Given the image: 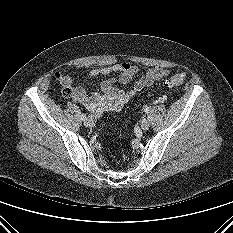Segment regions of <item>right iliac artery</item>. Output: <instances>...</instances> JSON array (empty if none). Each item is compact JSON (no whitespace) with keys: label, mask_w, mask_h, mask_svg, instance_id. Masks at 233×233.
Segmentation results:
<instances>
[{"label":"right iliac artery","mask_w":233,"mask_h":233,"mask_svg":"<svg viewBox=\"0 0 233 233\" xmlns=\"http://www.w3.org/2000/svg\"><path fill=\"white\" fill-rule=\"evenodd\" d=\"M81 119H82V120H85V119H86V115H85V114H82V115H81Z\"/></svg>","instance_id":"obj_1"}]
</instances>
